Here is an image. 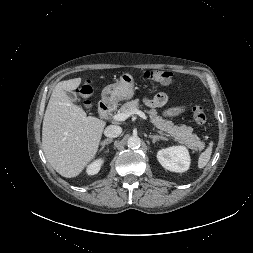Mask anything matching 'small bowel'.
Wrapping results in <instances>:
<instances>
[{
  "label": "small bowel",
  "mask_w": 253,
  "mask_h": 253,
  "mask_svg": "<svg viewBox=\"0 0 253 253\" xmlns=\"http://www.w3.org/2000/svg\"><path fill=\"white\" fill-rule=\"evenodd\" d=\"M168 97L165 93H158L152 99H145V104L155 113L157 109L165 106ZM184 111V107H175L164 112L166 116H175Z\"/></svg>",
  "instance_id": "1"
}]
</instances>
